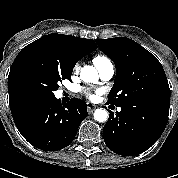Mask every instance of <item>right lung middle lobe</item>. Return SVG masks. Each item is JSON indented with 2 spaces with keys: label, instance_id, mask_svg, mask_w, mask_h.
Wrapping results in <instances>:
<instances>
[{
  "label": "right lung middle lobe",
  "instance_id": "obj_1",
  "mask_svg": "<svg viewBox=\"0 0 178 178\" xmlns=\"http://www.w3.org/2000/svg\"><path fill=\"white\" fill-rule=\"evenodd\" d=\"M72 70L51 55L27 53L13 62L8 76V91L14 97H51L59 88V82L71 78Z\"/></svg>",
  "mask_w": 178,
  "mask_h": 178
}]
</instances>
